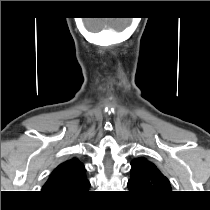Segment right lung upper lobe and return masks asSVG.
Masks as SVG:
<instances>
[{
    "mask_svg": "<svg viewBox=\"0 0 210 210\" xmlns=\"http://www.w3.org/2000/svg\"><path fill=\"white\" fill-rule=\"evenodd\" d=\"M84 165L72 158L57 166L44 184L42 192L53 198H76L87 192L90 186Z\"/></svg>",
    "mask_w": 210,
    "mask_h": 210,
    "instance_id": "cb5924a9",
    "label": "right lung upper lobe"
}]
</instances>
